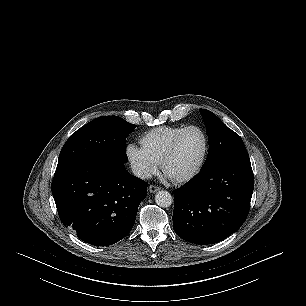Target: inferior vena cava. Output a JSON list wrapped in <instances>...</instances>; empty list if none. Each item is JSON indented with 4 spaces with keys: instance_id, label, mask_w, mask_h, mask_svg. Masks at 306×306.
<instances>
[{
    "instance_id": "inferior-vena-cava-1",
    "label": "inferior vena cava",
    "mask_w": 306,
    "mask_h": 306,
    "mask_svg": "<svg viewBox=\"0 0 306 306\" xmlns=\"http://www.w3.org/2000/svg\"><path fill=\"white\" fill-rule=\"evenodd\" d=\"M132 171L135 176L141 178V179H147L151 177L150 171L145 168L144 166H133Z\"/></svg>"
}]
</instances>
